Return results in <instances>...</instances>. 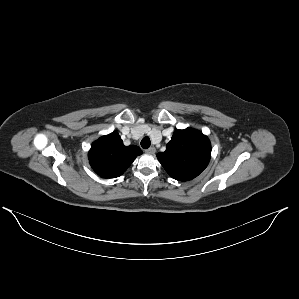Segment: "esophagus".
Returning a JSON list of instances; mask_svg holds the SVG:
<instances>
[{"instance_id": "obj_1", "label": "esophagus", "mask_w": 299, "mask_h": 299, "mask_svg": "<svg viewBox=\"0 0 299 299\" xmlns=\"http://www.w3.org/2000/svg\"><path fill=\"white\" fill-rule=\"evenodd\" d=\"M156 152V149L154 147H150L148 149H146V153L148 154H154Z\"/></svg>"}]
</instances>
